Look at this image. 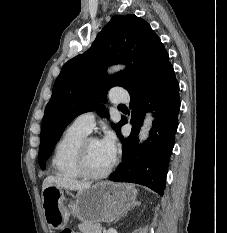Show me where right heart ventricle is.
Segmentation results:
<instances>
[{
	"mask_svg": "<svg viewBox=\"0 0 227 233\" xmlns=\"http://www.w3.org/2000/svg\"><path fill=\"white\" fill-rule=\"evenodd\" d=\"M87 134L70 126L57 142L52 156V167L59 177L68 180L83 177L77 168L76 156L78 147Z\"/></svg>",
	"mask_w": 227,
	"mask_h": 233,
	"instance_id": "e07e8e85",
	"label": "right heart ventricle"
}]
</instances>
